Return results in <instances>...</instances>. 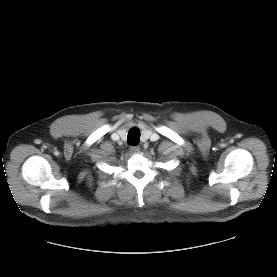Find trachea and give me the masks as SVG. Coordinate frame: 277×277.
<instances>
[{
    "instance_id": "1",
    "label": "trachea",
    "mask_w": 277,
    "mask_h": 277,
    "mask_svg": "<svg viewBox=\"0 0 277 277\" xmlns=\"http://www.w3.org/2000/svg\"><path fill=\"white\" fill-rule=\"evenodd\" d=\"M140 139V132L133 128L128 132V144L137 145Z\"/></svg>"
}]
</instances>
